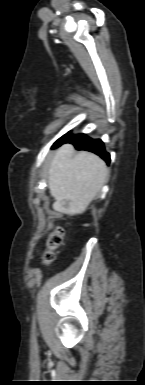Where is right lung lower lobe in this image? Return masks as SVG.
<instances>
[{
  "instance_id": "1",
  "label": "right lung lower lobe",
  "mask_w": 145,
  "mask_h": 385,
  "mask_svg": "<svg viewBox=\"0 0 145 385\" xmlns=\"http://www.w3.org/2000/svg\"><path fill=\"white\" fill-rule=\"evenodd\" d=\"M64 143H71L78 150H87L99 155L103 158L107 164L110 163V155L105 151L104 144L100 139H90L85 134H79L71 136L70 133H67L54 144L55 147H58Z\"/></svg>"
}]
</instances>
